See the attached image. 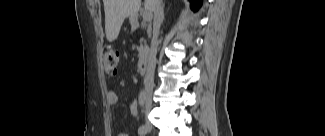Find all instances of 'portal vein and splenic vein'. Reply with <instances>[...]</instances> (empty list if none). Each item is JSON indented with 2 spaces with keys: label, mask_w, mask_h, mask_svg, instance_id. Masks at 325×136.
Segmentation results:
<instances>
[{
  "label": "portal vein and splenic vein",
  "mask_w": 325,
  "mask_h": 136,
  "mask_svg": "<svg viewBox=\"0 0 325 136\" xmlns=\"http://www.w3.org/2000/svg\"><path fill=\"white\" fill-rule=\"evenodd\" d=\"M152 20V13L150 11L145 10L143 13V21L150 22Z\"/></svg>",
  "instance_id": "portal-vein-and-splenic-vein-1"
}]
</instances>
